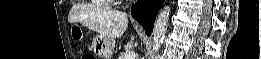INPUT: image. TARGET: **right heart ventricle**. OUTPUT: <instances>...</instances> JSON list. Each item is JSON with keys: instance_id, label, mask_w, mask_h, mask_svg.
<instances>
[{"instance_id": "e07e8e85", "label": "right heart ventricle", "mask_w": 261, "mask_h": 59, "mask_svg": "<svg viewBox=\"0 0 261 59\" xmlns=\"http://www.w3.org/2000/svg\"><path fill=\"white\" fill-rule=\"evenodd\" d=\"M99 2L103 5H109L113 2V0H99Z\"/></svg>"}]
</instances>
